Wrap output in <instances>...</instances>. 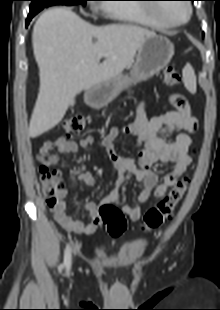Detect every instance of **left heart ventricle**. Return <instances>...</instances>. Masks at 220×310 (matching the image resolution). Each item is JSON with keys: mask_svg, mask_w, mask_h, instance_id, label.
<instances>
[{"mask_svg": "<svg viewBox=\"0 0 220 310\" xmlns=\"http://www.w3.org/2000/svg\"><path fill=\"white\" fill-rule=\"evenodd\" d=\"M158 13L172 21H181L187 16V9L181 3L165 4L158 9Z\"/></svg>", "mask_w": 220, "mask_h": 310, "instance_id": "obj_1", "label": "left heart ventricle"}]
</instances>
